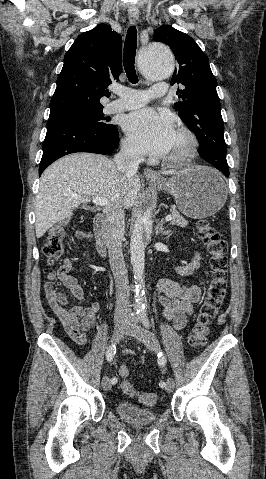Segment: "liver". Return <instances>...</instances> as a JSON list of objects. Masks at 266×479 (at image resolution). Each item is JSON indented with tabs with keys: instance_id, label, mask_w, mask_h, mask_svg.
Returning a JSON list of instances; mask_svg holds the SVG:
<instances>
[{
	"instance_id": "liver-1",
	"label": "liver",
	"mask_w": 266,
	"mask_h": 479,
	"mask_svg": "<svg viewBox=\"0 0 266 479\" xmlns=\"http://www.w3.org/2000/svg\"><path fill=\"white\" fill-rule=\"evenodd\" d=\"M140 191L139 177L119 172L116 164L105 156L94 153L65 156L41 176L35 201L36 237L41 238L54 224L69 218L74 209L91 198H107L109 205L105 210L129 209L136 203Z\"/></svg>"
}]
</instances>
